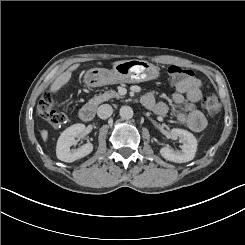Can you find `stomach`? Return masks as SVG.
<instances>
[{"label": "stomach", "instance_id": "stomach-1", "mask_svg": "<svg viewBox=\"0 0 245 245\" xmlns=\"http://www.w3.org/2000/svg\"><path fill=\"white\" fill-rule=\"evenodd\" d=\"M161 76V68L153 63L144 60H128L114 65L111 70L89 69L84 75V83L89 87H99L108 84L158 80Z\"/></svg>", "mask_w": 245, "mask_h": 245}]
</instances>
